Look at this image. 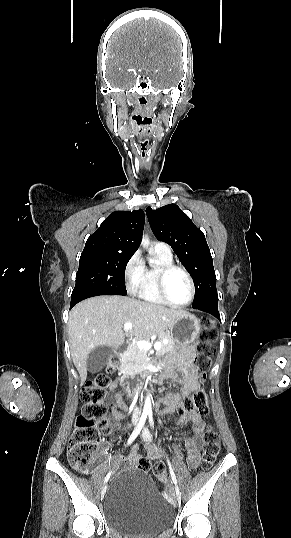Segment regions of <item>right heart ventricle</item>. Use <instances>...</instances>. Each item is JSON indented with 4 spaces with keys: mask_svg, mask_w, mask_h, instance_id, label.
<instances>
[{
    "mask_svg": "<svg viewBox=\"0 0 291 538\" xmlns=\"http://www.w3.org/2000/svg\"><path fill=\"white\" fill-rule=\"evenodd\" d=\"M153 253L158 260V264L154 267L144 268L143 279L137 294L143 301L164 305L166 303L157 289V273L161 267L173 264V257L157 250H154Z\"/></svg>",
    "mask_w": 291,
    "mask_h": 538,
    "instance_id": "1",
    "label": "right heart ventricle"
}]
</instances>
